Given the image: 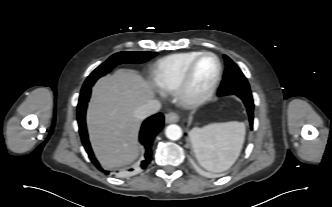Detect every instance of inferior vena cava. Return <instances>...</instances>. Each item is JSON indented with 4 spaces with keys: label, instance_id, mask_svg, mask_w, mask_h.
<instances>
[{
    "label": "inferior vena cava",
    "instance_id": "inferior-vena-cava-1",
    "mask_svg": "<svg viewBox=\"0 0 332 207\" xmlns=\"http://www.w3.org/2000/svg\"><path fill=\"white\" fill-rule=\"evenodd\" d=\"M161 109V103L157 100H150L142 106L138 107L134 114L139 119H144L150 115L155 114Z\"/></svg>",
    "mask_w": 332,
    "mask_h": 207
}]
</instances>
